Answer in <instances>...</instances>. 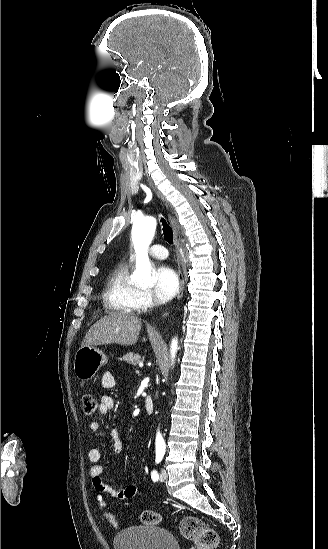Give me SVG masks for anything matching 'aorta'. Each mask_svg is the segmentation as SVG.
Returning a JSON list of instances; mask_svg holds the SVG:
<instances>
[{
    "label": "aorta",
    "mask_w": 328,
    "mask_h": 549,
    "mask_svg": "<svg viewBox=\"0 0 328 549\" xmlns=\"http://www.w3.org/2000/svg\"><path fill=\"white\" fill-rule=\"evenodd\" d=\"M157 221L147 216L138 219L132 227V241L136 252V269L132 274V281L139 286L149 287L154 284L152 267L148 257V247L154 237ZM178 349L177 339H172L170 353L173 362ZM155 446L157 451H165L166 444L160 432H157Z\"/></svg>",
    "instance_id": "762f6f07"
}]
</instances>
